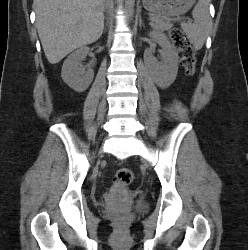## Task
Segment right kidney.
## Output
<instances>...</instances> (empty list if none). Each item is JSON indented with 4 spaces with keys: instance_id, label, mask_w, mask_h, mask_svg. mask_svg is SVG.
<instances>
[{
    "instance_id": "ca27d5eb",
    "label": "right kidney",
    "mask_w": 248,
    "mask_h": 250,
    "mask_svg": "<svg viewBox=\"0 0 248 250\" xmlns=\"http://www.w3.org/2000/svg\"><path fill=\"white\" fill-rule=\"evenodd\" d=\"M89 53V48L84 46L70 54L64 61L61 71L63 81L76 92L85 91L94 78L92 69H83L79 67L81 61Z\"/></svg>"
}]
</instances>
